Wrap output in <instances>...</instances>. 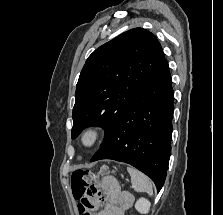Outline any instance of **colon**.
Segmentation results:
<instances>
[{
  "label": "colon",
  "instance_id": "colon-1",
  "mask_svg": "<svg viewBox=\"0 0 223 215\" xmlns=\"http://www.w3.org/2000/svg\"><path fill=\"white\" fill-rule=\"evenodd\" d=\"M108 173V169L106 167H102L99 174L105 175ZM96 178V174L90 173L88 171L84 170H76L72 173L71 176V187L73 194L77 200H79V205L81 207L82 213L85 215H89V206H86L81 203L83 200L87 188L90 186V184L94 181Z\"/></svg>",
  "mask_w": 223,
  "mask_h": 215
}]
</instances>
